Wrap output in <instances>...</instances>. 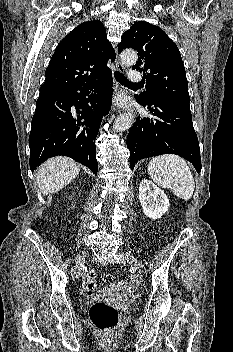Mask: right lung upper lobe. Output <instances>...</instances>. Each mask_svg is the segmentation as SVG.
Returning <instances> with one entry per match:
<instances>
[{
	"label": "right lung upper lobe",
	"mask_w": 233,
	"mask_h": 352,
	"mask_svg": "<svg viewBox=\"0 0 233 352\" xmlns=\"http://www.w3.org/2000/svg\"><path fill=\"white\" fill-rule=\"evenodd\" d=\"M115 57L102 22H83L57 46L40 89L68 91L73 86L95 79L110 70L106 66L107 62L109 59L114 61Z\"/></svg>",
	"instance_id": "obj_1"
}]
</instances>
